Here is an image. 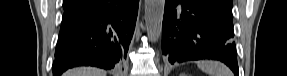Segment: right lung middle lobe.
Returning a JSON list of instances; mask_svg holds the SVG:
<instances>
[{
  "label": "right lung middle lobe",
  "instance_id": "right-lung-middle-lobe-1",
  "mask_svg": "<svg viewBox=\"0 0 287 76\" xmlns=\"http://www.w3.org/2000/svg\"><path fill=\"white\" fill-rule=\"evenodd\" d=\"M80 0H64L63 1V7L65 10L73 7L74 5H76Z\"/></svg>",
  "mask_w": 287,
  "mask_h": 76
}]
</instances>
